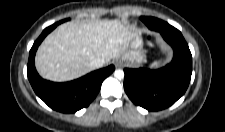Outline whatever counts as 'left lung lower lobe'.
<instances>
[{
	"label": "left lung lower lobe",
	"instance_id": "left-lung-lower-lobe-1",
	"mask_svg": "<svg viewBox=\"0 0 225 132\" xmlns=\"http://www.w3.org/2000/svg\"><path fill=\"white\" fill-rule=\"evenodd\" d=\"M145 19L148 28L171 45L174 57L157 70L125 68L124 90L136 105L157 111L171 106L185 93L192 74V55L179 30L154 17Z\"/></svg>",
	"mask_w": 225,
	"mask_h": 132
}]
</instances>
